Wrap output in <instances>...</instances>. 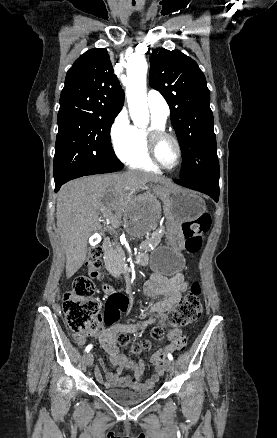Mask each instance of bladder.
Masks as SVG:
<instances>
[{"label": "bladder", "mask_w": 277, "mask_h": 438, "mask_svg": "<svg viewBox=\"0 0 277 438\" xmlns=\"http://www.w3.org/2000/svg\"><path fill=\"white\" fill-rule=\"evenodd\" d=\"M105 396L116 404L126 407L135 406L145 402L153 393L148 390H128L123 388H106Z\"/></svg>", "instance_id": "1"}]
</instances>
